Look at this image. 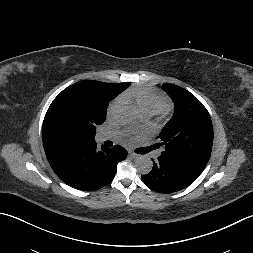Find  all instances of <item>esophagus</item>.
I'll return each instance as SVG.
<instances>
[{
    "mask_svg": "<svg viewBox=\"0 0 253 253\" xmlns=\"http://www.w3.org/2000/svg\"><path fill=\"white\" fill-rule=\"evenodd\" d=\"M128 154H129V156H130L132 159H137V158H139V156H140V155H138V154H136V153H134V152H132V151H129Z\"/></svg>",
    "mask_w": 253,
    "mask_h": 253,
    "instance_id": "34e87169",
    "label": "esophagus"
}]
</instances>
